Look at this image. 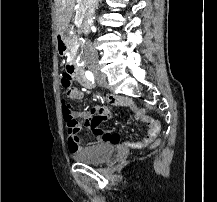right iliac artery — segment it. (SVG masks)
I'll use <instances>...</instances> for the list:
<instances>
[{
	"label": "right iliac artery",
	"instance_id": "1",
	"mask_svg": "<svg viewBox=\"0 0 217 202\" xmlns=\"http://www.w3.org/2000/svg\"><path fill=\"white\" fill-rule=\"evenodd\" d=\"M86 77L88 78V80L92 81V83H94V76L90 71H87L86 73Z\"/></svg>",
	"mask_w": 217,
	"mask_h": 202
}]
</instances>
